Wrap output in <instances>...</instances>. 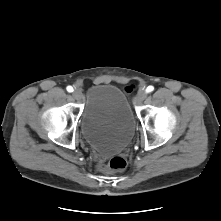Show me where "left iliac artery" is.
Segmentation results:
<instances>
[{"label": "left iliac artery", "mask_w": 221, "mask_h": 221, "mask_svg": "<svg viewBox=\"0 0 221 221\" xmlns=\"http://www.w3.org/2000/svg\"><path fill=\"white\" fill-rule=\"evenodd\" d=\"M154 90V87L153 86H148L147 87V89H146V91L149 93V92H151V91H153Z\"/></svg>", "instance_id": "left-iliac-artery-1"}]
</instances>
